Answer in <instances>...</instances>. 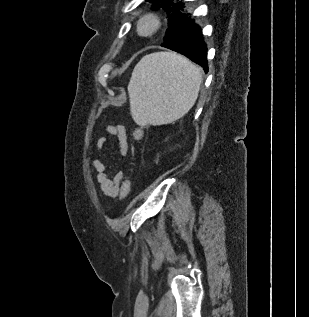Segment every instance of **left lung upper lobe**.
<instances>
[{"mask_svg":"<svg viewBox=\"0 0 309 317\" xmlns=\"http://www.w3.org/2000/svg\"><path fill=\"white\" fill-rule=\"evenodd\" d=\"M153 4V9L158 10L163 8L167 12L168 17V29L164 37V42L174 37L180 31H182L189 23L190 17L188 14H184V3L176 2L173 0H146Z\"/></svg>","mask_w":309,"mask_h":317,"instance_id":"5c2ea615","label":"left lung upper lobe"}]
</instances>
